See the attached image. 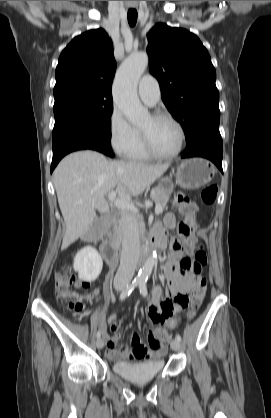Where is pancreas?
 I'll use <instances>...</instances> for the list:
<instances>
[{
  "label": "pancreas",
  "instance_id": "obj_1",
  "mask_svg": "<svg viewBox=\"0 0 271 418\" xmlns=\"http://www.w3.org/2000/svg\"><path fill=\"white\" fill-rule=\"evenodd\" d=\"M151 199L156 203V205H161L162 209L166 207V204L169 200V192L161 187L153 188L150 194ZM139 232L144 233V224L142 222L137 223ZM118 232H122L121 226L118 228Z\"/></svg>",
  "mask_w": 271,
  "mask_h": 418
}]
</instances>
